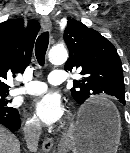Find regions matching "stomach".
Here are the masks:
<instances>
[{
  "instance_id": "stomach-1",
  "label": "stomach",
  "mask_w": 130,
  "mask_h": 153,
  "mask_svg": "<svg viewBox=\"0 0 130 153\" xmlns=\"http://www.w3.org/2000/svg\"><path fill=\"white\" fill-rule=\"evenodd\" d=\"M88 108H108L109 111L85 120L83 112ZM121 130V118L116 107L103 99H94L81 109L61 146L63 150L70 149L73 153H116Z\"/></svg>"
}]
</instances>
